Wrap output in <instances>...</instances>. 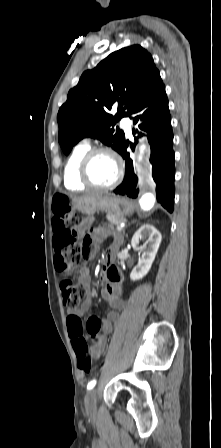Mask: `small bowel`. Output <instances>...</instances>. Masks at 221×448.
<instances>
[{
    "instance_id": "c3829d8e",
    "label": "small bowel",
    "mask_w": 221,
    "mask_h": 448,
    "mask_svg": "<svg viewBox=\"0 0 221 448\" xmlns=\"http://www.w3.org/2000/svg\"><path fill=\"white\" fill-rule=\"evenodd\" d=\"M56 219L55 214L53 213L52 216V227L53 232L55 235V229H54V221ZM89 224L88 221H84L81 223V225L78 227L77 231L82 234ZM91 239V245H92V251H95L96 246L101 242L102 238L98 234L97 231L94 232ZM54 247V242H53ZM117 247V241H113L112 244L108 248L107 252V264L104 269V275L106 279L108 280V283L105 285V287L102 290V297L105 300V302L108 304V306L111 308V310L106 314L105 317H103L100 320L101 323V331L102 335L100 336V341L93 345L90 349V355L93 360H99L102 353L105 350L107 336L112 332L114 324H116L119 321V315L116 312V310H122L126 308V302L122 299V276L117 267L113 263L114 259V253L116 251ZM79 282L89 289L90 295L87 298V300L81 305L79 308H75L72 310H69L68 316H74L80 319V317L91 307L93 299L92 294L90 290V281H89V275L88 270L83 269L81 271V275L79 278ZM71 338V337H70ZM81 340H85V337L82 335L80 337ZM73 349H74V342L71 338ZM75 351V349H74Z\"/></svg>"
}]
</instances>
